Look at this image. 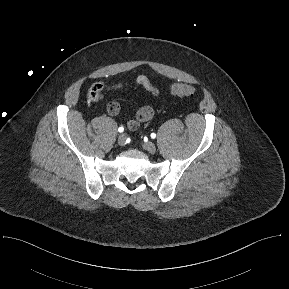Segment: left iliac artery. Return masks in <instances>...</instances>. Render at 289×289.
Wrapping results in <instances>:
<instances>
[{
  "label": "left iliac artery",
  "mask_w": 289,
  "mask_h": 289,
  "mask_svg": "<svg viewBox=\"0 0 289 289\" xmlns=\"http://www.w3.org/2000/svg\"><path fill=\"white\" fill-rule=\"evenodd\" d=\"M150 136H151L152 139L156 138V134L155 133H151Z\"/></svg>",
  "instance_id": "obj_1"
}]
</instances>
